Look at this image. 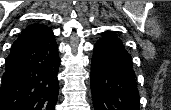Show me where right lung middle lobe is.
Here are the masks:
<instances>
[{"instance_id":"right-lung-middle-lobe-1","label":"right lung middle lobe","mask_w":171,"mask_h":110,"mask_svg":"<svg viewBox=\"0 0 171 110\" xmlns=\"http://www.w3.org/2000/svg\"><path fill=\"white\" fill-rule=\"evenodd\" d=\"M8 61H9V58L6 59V62H8Z\"/></svg>"}]
</instances>
